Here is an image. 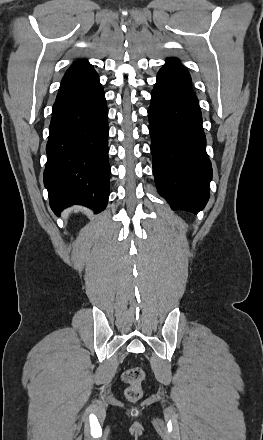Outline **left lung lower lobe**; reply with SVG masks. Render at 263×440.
<instances>
[{
  "label": "left lung lower lobe",
  "mask_w": 263,
  "mask_h": 440,
  "mask_svg": "<svg viewBox=\"0 0 263 440\" xmlns=\"http://www.w3.org/2000/svg\"><path fill=\"white\" fill-rule=\"evenodd\" d=\"M148 116L159 193L173 210L198 213L209 199L212 167L198 99L178 59H167L158 72Z\"/></svg>",
  "instance_id": "0a47b994"
}]
</instances>
